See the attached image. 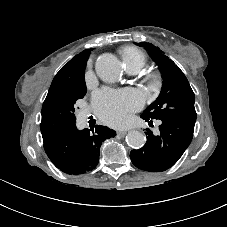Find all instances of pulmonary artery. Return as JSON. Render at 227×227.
<instances>
[{
    "label": "pulmonary artery",
    "mask_w": 227,
    "mask_h": 227,
    "mask_svg": "<svg viewBox=\"0 0 227 227\" xmlns=\"http://www.w3.org/2000/svg\"><path fill=\"white\" fill-rule=\"evenodd\" d=\"M127 72L130 73V74H136L138 71L133 70V69H128Z\"/></svg>",
    "instance_id": "obj_1"
}]
</instances>
